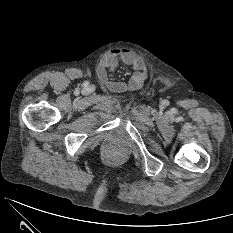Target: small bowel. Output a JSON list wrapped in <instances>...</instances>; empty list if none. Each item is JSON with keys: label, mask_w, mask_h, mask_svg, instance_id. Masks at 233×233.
I'll return each mask as SVG.
<instances>
[{"label": "small bowel", "mask_w": 233, "mask_h": 233, "mask_svg": "<svg viewBox=\"0 0 233 233\" xmlns=\"http://www.w3.org/2000/svg\"><path fill=\"white\" fill-rule=\"evenodd\" d=\"M119 62L130 66L134 73L127 82L109 81L107 83L108 89L116 93L140 89L147 79V68L140 57L128 49L120 48L108 53L99 64V75L102 76L107 72L114 71L118 67Z\"/></svg>", "instance_id": "1"}]
</instances>
